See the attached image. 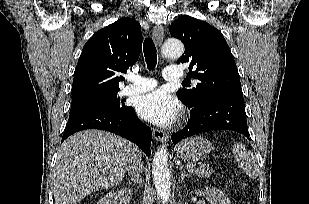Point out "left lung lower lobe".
Wrapping results in <instances>:
<instances>
[{"label":"left lung lower lobe","mask_w":309,"mask_h":204,"mask_svg":"<svg viewBox=\"0 0 309 204\" xmlns=\"http://www.w3.org/2000/svg\"><path fill=\"white\" fill-rule=\"evenodd\" d=\"M190 109L185 128L172 135L177 144L182 139L211 130H233L249 138L243 95H219Z\"/></svg>","instance_id":"left-lung-lower-lobe-1"}]
</instances>
